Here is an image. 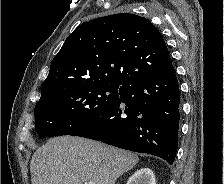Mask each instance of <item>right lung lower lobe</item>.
Here are the masks:
<instances>
[{"label": "right lung lower lobe", "mask_w": 224, "mask_h": 184, "mask_svg": "<svg viewBox=\"0 0 224 184\" xmlns=\"http://www.w3.org/2000/svg\"><path fill=\"white\" fill-rule=\"evenodd\" d=\"M180 92L175 69L127 82L118 99L69 135L158 156L172 164L178 148Z\"/></svg>", "instance_id": "98d812e1"}]
</instances>
